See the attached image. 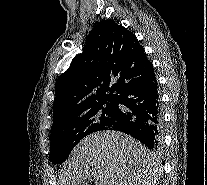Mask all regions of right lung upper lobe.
Masks as SVG:
<instances>
[{
	"mask_svg": "<svg viewBox=\"0 0 207 185\" xmlns=\"http://www.w3.org/2000/svg\"><path fill=\"white\" fill-rule=\"evenodd\" d=\"M152 74L153 65L136 36L113 20L100 21L91 30L83 53L74 57L69 69L57 80L52 127L116 102L128 83Z\"/></svg>",
	"mask_w": 207,
	"mask_h": 185,
	"instance_id": "1",
	"label": "right lung upper lobe"
}]
</instances>
